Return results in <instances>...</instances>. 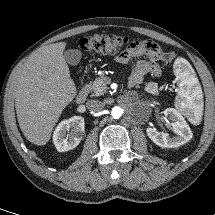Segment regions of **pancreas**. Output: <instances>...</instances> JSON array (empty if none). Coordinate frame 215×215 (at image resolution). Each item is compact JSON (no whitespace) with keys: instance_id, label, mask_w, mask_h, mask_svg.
<instances>
[{"instance_id":"1","label":"pancreas","mask_w":215,"mask_h":215,"mask_svg":"<svg viewBox=\"0 0 215 215\" xmlns=\"http://www.w3.org/2000/svg\"><path fill=\"white\" fill-rule=\"evenodd\" d=\"M86 88L91 92L92 96H100L107 92V85L104 81V76L96 78L93 82L86 85ZM146 90L156 94L158 92L157 84L147 85Z\"/></svg>"}]
</instances>
